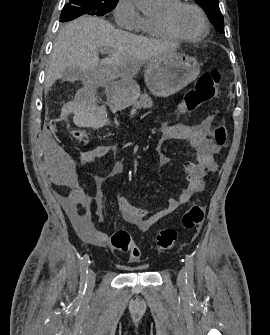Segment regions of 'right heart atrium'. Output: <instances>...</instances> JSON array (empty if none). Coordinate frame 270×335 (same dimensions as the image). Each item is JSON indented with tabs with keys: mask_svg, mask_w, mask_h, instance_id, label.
I'll list each match as a JSON object with an SVG mask.
<instances>
[{
	"mask_svg": "<svg viewBox=\"0 0 270 335\" xmlns=\"http://www.w3.org/2000/svg\"><path fill=\"white\" fill-rule=\"evenodd\" d=\"M141 17L135 0H119L114 8L115 22L126 30H137Z\"/></svg>",
	"mask_w": 270,
	"mask_h": 335,
	"instance_id": "right-heart-atrium-1",
	"label": "right heart atrium"
}]
</instances>
